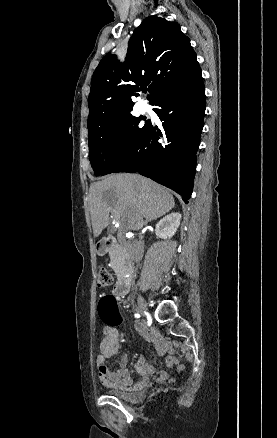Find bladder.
Listing matches in <instances>:
<instances>
[{
  "label": "bladder",
  "mask_w": 277,
  "mask_h": 438,
  "mask_svg": "<svg viewBox=\"0 0 277 438\" xmlns=\"http://www.w3.org/2000/svg\"><path fill=\"white\" fill-rule=\"evenodd\" d=\"M107 394L108 396L118 399L120 401H127L131 395L128 392H125L121 389H117V388H110L107 390Z\"/></svg>",
  "instance_id": "bladder-1"
}]
</instances>
